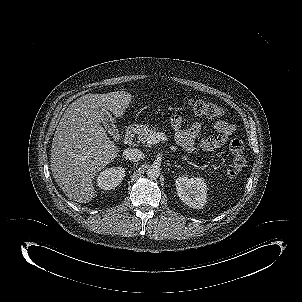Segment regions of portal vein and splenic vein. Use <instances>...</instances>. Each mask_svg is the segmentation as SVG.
<instances>
[{
  "mask_svg": "<svg viewBox=\"0 0 302 302\" xmlns=\"http://www.w3.org/2000/svg\"><path fill=\"white\" fill-rule=\"evenodd\" d=\"M163 139V134L162 133H155L152 136L149 137L148 139V144H155L159 143Z\"/></svg>",
  "mask_w": 302,
  "mask_h": 302,
  "instance_id": "portal-vein-and-splenic-vein-1",
  "label": "portal vein and splenic vein"
}]
</instances>
